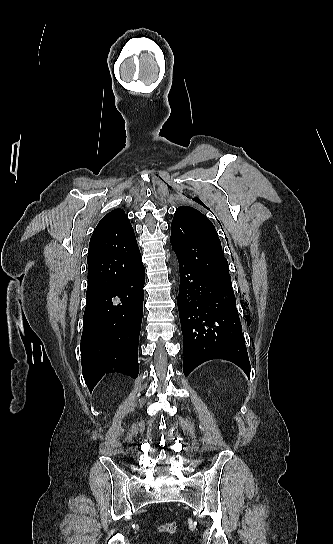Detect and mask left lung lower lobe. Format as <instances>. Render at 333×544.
Returning a JSON list of instances; mask_svg holds the SVG:
<instances>
[{
    "label": "left lung lower lobe",
    "mask_w": 333,
    "mask_h": 544,
    "mask_svg": "<svg viewBox=\"0 0 333 544\" xmlns=\"http://www.w3.org/2000/svg\"><path fill=\"white\" fill-rule=\"evenodd\" d=\"M178 261L184 375L205 361L220 358L235 363L249 376L250 362L235 296L207 273Z\"/></svg>",
    "instance_id": "obj_1"
}]
</instances>
